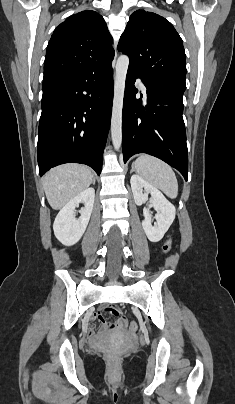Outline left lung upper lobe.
<instances>
[{
    "label": "left lung upper lobe",
    "instance_id": "obj_1",
    "mask_svg": "<svg viewBox=\"0 0 235 404\" xmlns=\"http://www.w3.org/2000/svg\"><path fill=\"white\" fill-rule=\"evenodd\" d=\"M118 50L129 56V69L148 80L185 91L183 42L162 16L144 10L134 12L121 35Z\"/></svg>",
    "mask_w": 235,
    "mask_h": 404
}]
</instances>
